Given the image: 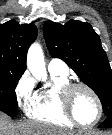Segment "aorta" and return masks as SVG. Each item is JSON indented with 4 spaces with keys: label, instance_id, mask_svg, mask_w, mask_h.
Here are the masks:
<instances>
[{
    "label": "aorta",
    "instance_id": "obj_1",
    "mask_svg": "<svg viewBox=\"0 0 112 135\" xmlns=\"http://www.w3.org/2000/svg\"><path fill=\"white\" fill-rule=\"evenodd\" d=\"M27 68L37 80H46V66L41 46L34 43L28 50Z\"/></svg>",
    "mask_w": 112,
    "mask_h": 135
}]
</instances>
